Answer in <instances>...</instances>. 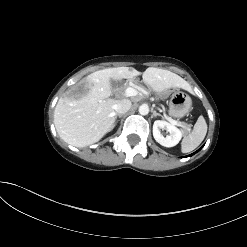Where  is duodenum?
Returning <instances> with one entry per match:
<instances>
[{"mask_svg": "<svg viewBox=\"0 0 247 247\" xmlns=\"http://www.w3.org/2000/svg\"><path fill=\"white\" fill-rule=\"evenodd\" d=\"M132 80H134V83H135V84H138V85L144 84L142 80H138V79H132ZM144 85H145V84H144ZM145 87H146V85H145ZM147 88H148V87H147ZM149 90H150V89H149Z\"/></svg>", "mask_w": 247, "mask_h": 247, "instance_id": "410a0bca", "label": "duodenum"}]
</instances>
